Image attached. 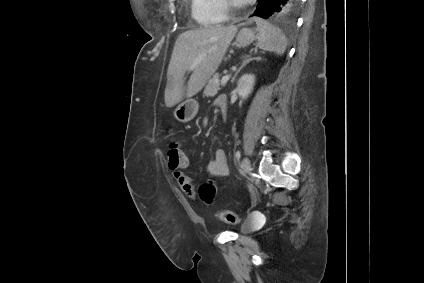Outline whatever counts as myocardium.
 I'll return each instance as SVG.
<instances>
[{
  "label": "myocardium",
  "mask_w": 424,
  "mask_h": 283,
  "mask_svg": "<svg viewBox=\"0 0 424 283\" xmlns=\"http://www.w3.org/2000/svg\"><path fill=\"white\" fill-rule=\"evenodd\" d=\"M232 8H233L234 11H238L239 10L238 5L235 4V3H232Z\"/></svg>",
  "instance_id": "1"
}]
</instances>
